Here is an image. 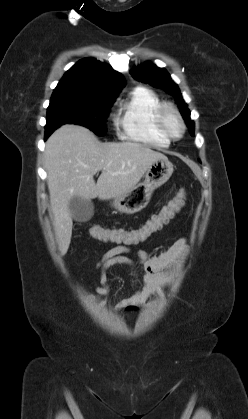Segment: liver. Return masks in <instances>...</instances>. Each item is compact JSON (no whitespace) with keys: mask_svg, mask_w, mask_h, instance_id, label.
Wrapping results in <instances>:
<instances>
[{"mask_svg":"<svg viewBox=\"0 0 248 419\" xmlns=\"http://www.w3.org/2000/svg\"><path fill=\"white\" fill-rule=\"evenodd\" d=\"M167 158L148 146L134 142L101 143L87 128L68 124L47 140L44 165L54 233L61 255L68 251L72 236V216L68 208L72 197L85 200L115 198L133 188L149 166ZM102 171L97 183L93 176Z\"/></svg>","mask_w":248,"mask_h":419,"instance_id":"obj_1","label":"liver"}]
</instances>
